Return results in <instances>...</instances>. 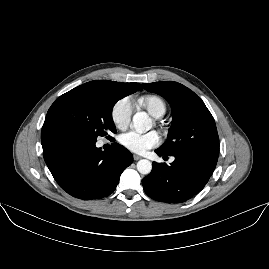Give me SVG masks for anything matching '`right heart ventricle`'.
I'll list each match as a JSON object with an SVG mask.
<instances>
[{
	"label": "right heart ventricle",
	"mask_w": 269,
	"mask_h": 269,
	"mask_svg": "<svg viewBox=\"0 0 269 269\" xmlns=\"http://www.w3.org/2000/svg\"><path fill=\"white\" fill-rule=\"evenodd\" d=\"M143 107L153 116L160 117L166 111L164 102L156 96H147L141 99Z\"/></svg>",
	"instance_id": "right-heart-ventricle-1"
}]
</instances>
